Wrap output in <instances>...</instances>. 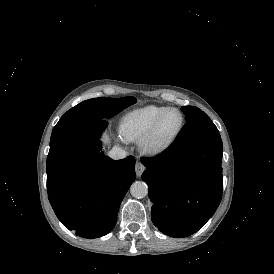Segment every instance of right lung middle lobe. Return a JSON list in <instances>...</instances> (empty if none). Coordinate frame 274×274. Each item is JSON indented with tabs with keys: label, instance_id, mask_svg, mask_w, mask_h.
I'll use <instances>...</instances> for the list:
<instances>
[{
	"label": "right lung middle lobe",
	"instance_id": "right-lung-middle-lobe-1",
	"mask_svg": "<svg viewBox=\"0 0 274 274\" xmlns=\"http://www.w3.org/2000/svg\"><path fill=\"white\" fill-rule=\"evenodd\" d=\"M134 103H136L134 97L117 99L99 97L81 102L68 110L56 124L52 131L50 146L93 121L113 117Z\"/></svg>",
	"mask_w": 274,
	"mask_h": 274
}]
</instances>
